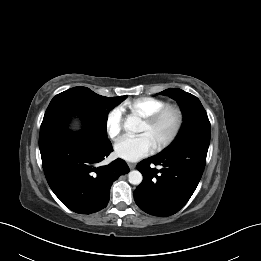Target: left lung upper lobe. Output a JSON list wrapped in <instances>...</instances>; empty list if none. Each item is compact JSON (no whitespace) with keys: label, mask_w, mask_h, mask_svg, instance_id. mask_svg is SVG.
I'll return each mask as SVG.
<instances>
[{"label":"left lung upper lobe","mask_w":261,"mask_h":261,"mask_svg":"<svg viewBox=\"0 0 261 261\" xmlns=\"http://www.w3.org/2000/svg\"><path fill=\"white\" fill-rule=\"evenodd\" d=\"M160 94L175 99L183 113V123L178 135L163 151L191 143L209 145L211 136L210 122L199 99L178 88H169L160 92Z\"/></svg>","instance_id":"obj_1"}]
</instances>
